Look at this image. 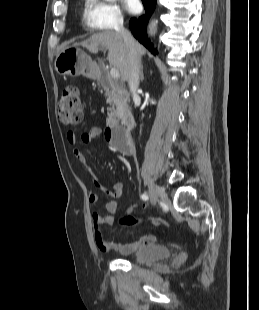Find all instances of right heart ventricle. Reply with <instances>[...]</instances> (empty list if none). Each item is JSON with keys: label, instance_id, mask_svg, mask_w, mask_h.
Here are the masks:
<instances>
[{"label": "right heart ventricle", "instance_id": "obj_1", "mask_svg": "<svg viewBox=\"0 0 259 310\" xmlns=\"http://www.w3.org/2000/svg\"><path fill=\"white\" fill-rule=\"evenodd\" d=\"M83 23L89 29H95L96 26L92 23L89 17V8L86 6L83 14Z\"/></svg>", "mask_w": 259, "mask_h": 310}]
</instances>
